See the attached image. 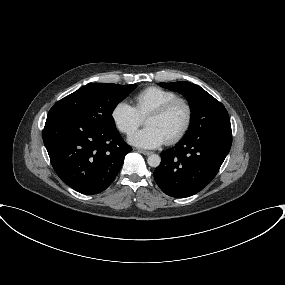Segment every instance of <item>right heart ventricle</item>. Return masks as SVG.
Instances as JSON below:
<instances>
[{
  "label": "right heart ventricle",
  "mask_w": 285,
  "mask_h": 285,
  "mask_svg": "<svg viewBox=\"0 0 285 285\" xmlns=\"http://www.w3.org/2000/svg\"><path fill=\"white\" fill-rule=\"evenodd\" d=\"M176 97L177 94L171 90L151 86L141 90L133 97V107L143 118L153 109Z\"/></svg>",
  "instance_id": "e07e8e85"
}]
</instances>
